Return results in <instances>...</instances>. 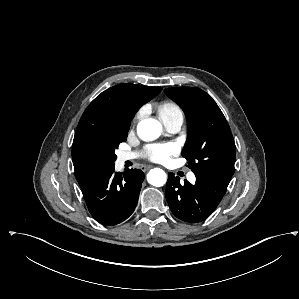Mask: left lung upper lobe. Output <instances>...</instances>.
I'll return each instance as SVG.
<instances>
[{
	"label": "left lung upper lobe",
	"instance_id": "1",
	"mask_svg": "<svg viewBox=\"0 0 299 299\" xmlns=\"http://www.w3.org/2000/svg\"><path fill=\"white\" fill-rule=\"evenodd\" d=\"M165 93L184 110L188 137L182 155L194 174H207L227 185L234 173L235 143L216 102L193 87L166 88Z\"/></svg>",
	"mask_w": 299,
	"mask_h": 299
}]
</instances>
